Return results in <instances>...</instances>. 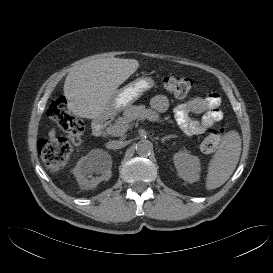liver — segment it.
Instances as JSON below:
<instances>
[{
    "label": "liver",
    "instance_id": "liver-1",
    "mask_svg": "<svg viewBox=\"0 0 273 273\" xmlns=\"http://www.w3.org/2000/svg\"><path fill=\"white\" fill-rule=\"evenodd\" d=\"M139 67L136 59L98 58L73 67L66 76L64 95L68 109L82 118L104 119L113 114L117 88ZM55 129L48 135L56 142Z\"/></svg>",
    "mask_w": 273,
    "mask_h": 273
}]
</instances>
